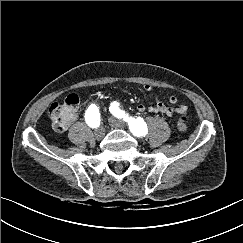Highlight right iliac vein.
I'll use <instances>...</instances> for the list:
<instances>
[{
	"mask_svg": "<svg viewBox=\"0 0 243 243\" xmlns=\"http://www.w3.org/2000/svg\"><path fill=\"white\" fill-rule=\"evenodd\" d=\"M105 135V128L103 126H100L95 130V138L100 140L104 137Z\"/></svg>",
	"mask_w": 243,
	"mask_h": 243,
	"instance_id": "obj_1",
	"label": "right iliac vein"
}]
</instances>
